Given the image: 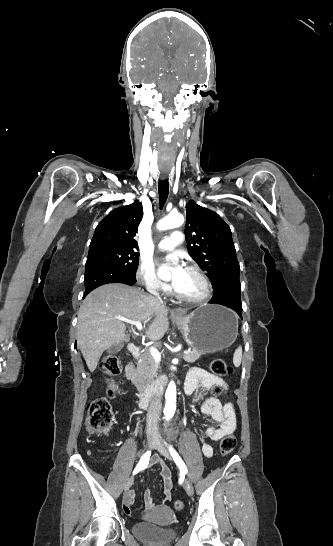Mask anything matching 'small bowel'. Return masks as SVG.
Returning a JSON list of instances; mask_svg holds the SVG:
<instances>
[{"label": "small bowel", "mask_w": 333, "mask_h": 546, "mask_svg": "<svg viewBox=\"0 0 333 546\" xmlns=\"http://www.w3.org/2000/svg\"><path fill=\"white\" fill-rule=\"evenodd\" d=\"M199 385L206 388L218 387L225 394L229 392V384L226 380L215 376L204 369L194 368L189 371L185 381V391L187 394H191ZM203 414L209 416L214 425L208 427L204 431V437L207 439L202 443V453L206 458L213 456V447L211 442H216L222 439L225 435L233 433L237 427V418L233 405L230 402L222 404L216 398H209L204 401L201 406ZM159 464L161 466L160 476L162 479L163 490L165 494V502L171 498V491L173 488V482L171 478L170 469L164 464L162 459L158 455H154L150 461V465L154 466ZM146 510L148 512H154L162 509V506L157 505L150 490L144 493ZM135 494L133 491L126 493L123 501V510L126 514L132 513V506L134 504Z\"/></svg>", "instance_id": "1"}]
</instances>
